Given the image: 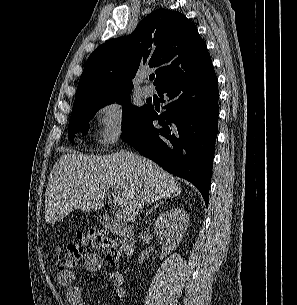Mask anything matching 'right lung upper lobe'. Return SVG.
Returning a JSON list of instances; mask_svg holds the SVG:
<instances>
[{"label":"right lung upper lobe","mask_w":297,"mask_h":305,"mask_svg":"<svg viewBox=\"0 0 297 305\" xmlns=\"http://www.w3.org/2000/svg\"><path fill=\"white\" fill-rule=\"evenodd\" d=\"M211 58L195 25L183 14L158 9L146 16L129 36L100 45L88 58L75 102L133 89L144 67L156 68V89L195 76Z\"/></svg>","instance_id":"cb5924a9"}]
</instances>
